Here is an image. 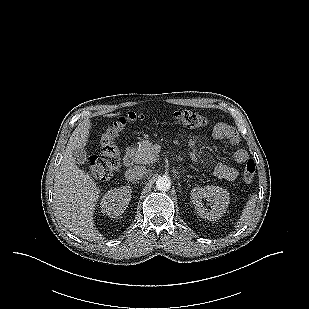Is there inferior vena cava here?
Returning a JSON list of instances; mask_svg holds the SVG:
<instances>
[{
  "instance_id": "inferior-vena-cava-1",
  "label": "inferior vena cava",
  "mask_w": 309,
  "mask_h": 309,
  "mask_svg": "<svg viewBox=\"0 0 309 309\" xmlns=\"http://www.w3.org/2000/svg\"><path fill=\"white\" fill-rule=\"evenodd\" d=\"M147 173V169L144 166H134L125 172V178L127 181L135 182L143 178Z\"/></svg>"
}]
</instances>
